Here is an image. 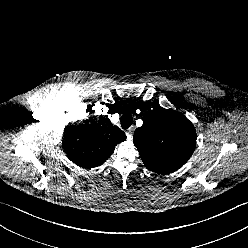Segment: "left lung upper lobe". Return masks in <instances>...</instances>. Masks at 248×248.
<instances>
[{"instance_id": "1", "label": "left lung upper lobe", "mask_w": 248, "mask_h": 248, "mask_svg": "<svg viewBox=\"0 0 248 248\" xmlns=\"http://www.w3.org/2000/svg\"><path fill=\"white\" fill-rule=\"evenodd\" d=\"M133 141L145 166L165 175L188 161L196 146V132L183 114L156 106L144 113Z\"/></svg>"}]
</instances>
